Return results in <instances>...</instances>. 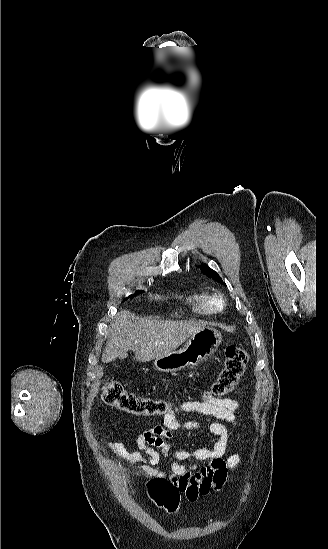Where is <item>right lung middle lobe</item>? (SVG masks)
Masks as SVG:
<instances>
[{
    "label": "right lung middle lobe",
    "mask_w": 328,
    "mask_h": 549,
    "mask_svg": "<svg viewBox=\"0 0 328 549\" xmlns=\"http://www.w3.org/2000/svg\"><path fill=\"white\" fill-rule=\"evenodd\" d=\"M142 292H144V291H143V290H139V291H137L134 295H137V294L142 293ZM134 295H131V296H129L128 298L133 297ZM128 298H126V299H128Z\"/></svg>",
    "instance_id": "1"
}]
</instances>
